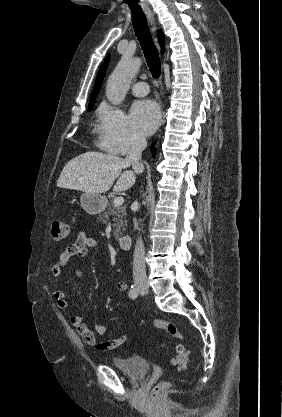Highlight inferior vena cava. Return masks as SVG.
Instances as JSON below:
<instances>
[{
    "instance_id": "obj_1",
    "label": "inferior vena cava",
    "mask_w": 282,
    "mask_h": 417,
    "mask_svg": "<svg viewBox=\"0 0 282 417\" xmlns=\"http://www.w3.org/2000/svg\"><path fill=\"white\" fill-rule=\"evenodd\" d=\"M147 140L145 136L136 134L132 140L131 150L126 156L127 160L131 162L134 172H143V164L139 162L142 156V150L146 148ZM138 209V202H134ZM133 281H147L146 267H145V247L142 239H138L133 255Z\"/></svg>"
}]
</instances>
